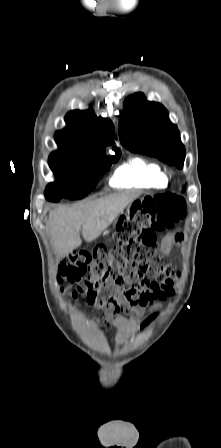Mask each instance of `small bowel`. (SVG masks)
<instances>
[{
	"mask_svg": "<svg viewBox=\"0 0 221 448\" xmlns=\"http://www.w3.org/2000/svg\"><path fill=\"white\" fill-rule=\"evenodd\" d=\"M184 235L180 232L167 234L161 241L160 249L162 253L168 254L174 245L181 244ZM96 310L102 311V316L97 319L99 324H114L118 329L117 346L124 343L137 325L136 319H125L120 313L130 312L133 306L126 299L122 290L118 289L113 294L110 291L101 293L94 304ZM138 315L143 314L142 309H137Z\"/></svg>",
	"mask_w": 221,
	"mask_h": 448,
	"instance_id": "c3829d8e",
	"label": "small bowel"
}]
</instances>
